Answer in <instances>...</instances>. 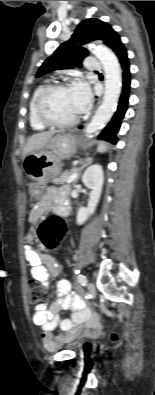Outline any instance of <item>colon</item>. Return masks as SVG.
Wrapping results in <instances>:
<instances>
[{
    "mask_svg": "<svg viewBox=\"0 0 155 395\" xmlns=\"http://www.w3.org/2000/svg\"><path fill=\"white\" fill-rule=\"evenodd\" d=\"M62 220V215H47L46 220L43 221L36 230L37 235H39L47 251H58L57 241L62 240V235H65L67 228L66 223H61ZM28 285L29 302L31 304L43 303L47 298L45 289L36 280H30ZM110 340L112 342L118 341V333H111Z\"/></svg>",
    "mask_w": 155,
    "mask_h": 395,
    "instance_id": "5ec220e1",
    "label": "colon"
}]
</instances>
